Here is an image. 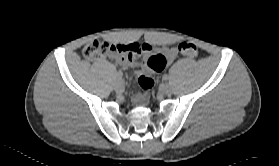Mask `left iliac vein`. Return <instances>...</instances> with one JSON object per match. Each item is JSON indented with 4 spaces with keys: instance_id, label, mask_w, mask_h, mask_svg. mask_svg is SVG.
<instances>
[{
    "instance_id": "obj_1",
    "label": "left iliac vein",
    "mask_w": 279,
    "mask_h": 166,
    "mask_svg": "<svg viewBox=\"0 0 279 166\" xmlns=\"http://www.w3.org/2000/svg\"><path fill=\"white\" fill-rule=\"evenodd\" d=\"M161 92L165 95L172 94V87L169 84H163L161 86Z\"/></svg>"
}]
</instances>
